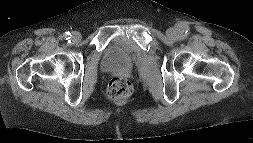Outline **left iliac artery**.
<instances>
[{
  "instance_id": "left-iliac-artery-1",
  "label": "left iliac artery",
  "mask_w": 253,
  "mask_h": 143,
  "mask_svg": "<svg viewBox=\"0 0 253 143\" xmlns=\"http://www.w3.org/2000/svg\"><path fill=\"white\" fill-rule=\"evenodd\" d=\"M187 34H188V29L182 28V29H181L180 37H181V38H185V37L187 36Z\"/></svg>"
}]
</instances>
